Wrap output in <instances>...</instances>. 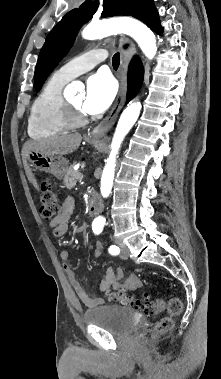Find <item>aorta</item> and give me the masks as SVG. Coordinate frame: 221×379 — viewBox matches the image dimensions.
I'll list each match as a JSON object with an SVG mask.
<instances>
[{
    "mask_svg": "<svg viewBox=\"0 0 221 379\" xmlns=\"http://www.w3.org/2000/svg\"><path fill=\"white\" fill-rule=\"evenodd\" d=\"M117 33L130 35L138 43L147 58L152 59L155 56L157 46L154 33L145 24L130 17H120L98 23H90L84 28L82 37L87 40H94ZM66 90L75 91L72 84L69 85ZM140 110L141 103L139 101H132L127 105L120 116L112 139L111 152L109 158L106 160L101 177L100 191L104 198H107L112 190L116 158L120 146L138 119ZM94 224L98 227H103L105 219L98 216L95 218Z\"/></svg>",
    "mask_w": 221,
    "mask_h": 379,
    "instance_id": "aorta-1",
    "label": "aorta"
}]
</instances>
